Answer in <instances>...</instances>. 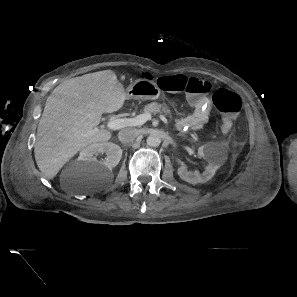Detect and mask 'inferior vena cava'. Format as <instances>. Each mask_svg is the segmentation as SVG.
<instances>
[{"mask_svg":"<svg viewBox=\"0 0 297 297\" xmlns=\"http://www.w3.org/2000/svg\"><path fill=\"white\" fill-rule=\"evenodd\" d=\"M139 136L136 128H125L118 133V138L122 143H131Z\"/></svg>","mask_w":297,"mask_h":297,"instance_id":"602c4592","label":"inferior vena cava"}]
</instances>
